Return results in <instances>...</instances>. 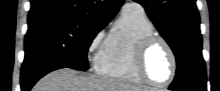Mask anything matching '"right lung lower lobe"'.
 Instances as JSON below:
<instances>
[{"mask_svg":"<svg viewBox=\"0 0 220 91\" xmlns=\"http://www.w3.org/2000/svg\"><path fill=\"white\" fill-rule=\"evenodd\" d=\"M61 68H65L64 66L61 65H52V66H48L45 67L44 69H42L41 71H39L37 74L35 75H30L28 77H24L21 78V89L22 91H29L32 86L45 74L57 70V69H61Z\"/></svg>","mask_w":220,"mask_h":91,"instance_id":"right-lung-lower-lobe-1","label":"right lung lower lobe"}]
</instances>
